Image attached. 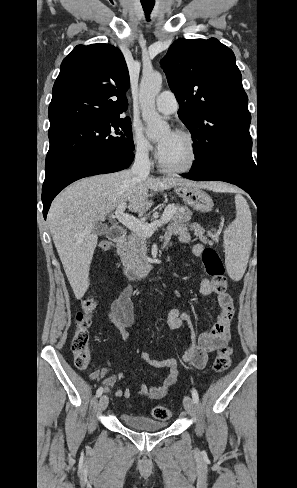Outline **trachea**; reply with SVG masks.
<instances>
[{"mask_svg": "<svg viewBox=\"0 0 297 488\" xmlns=\"http://www.w3.org/2000/svg\"><path fill=\"white\" fill-rule=\"evenodd\" d=\"M142 7L146 15H149L154 7L155 2L141 1Z\"/></svg>", "mask_w": 297, "mask_h": 488, "instance_id": "3493384b", "label": "trachea"}]
</instances>
